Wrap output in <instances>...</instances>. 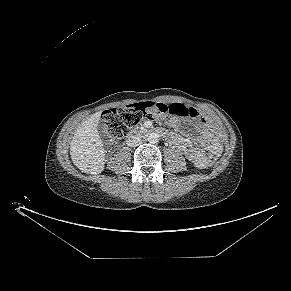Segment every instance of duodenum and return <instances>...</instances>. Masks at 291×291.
<instances>
[{"mask_svg": "<svg viewBox=\"0 0 291 291\" xmlns=\"http://www.w3.org/2000/svg\"><path fill=\"white\" fill-rule=\"evenodd\" d=\"M151 132H153V131H151V130H147V129H142V130H140V131L138 132V135L145 136V135L150 134ZM154 132H156V133H161L160 130H155Z\"/></svg>", "mask_w": 291, "mask_h": 291, "instance_id": "1", "label": "duodenum"}]
</instances>
